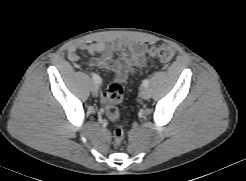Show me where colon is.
<instances>
[{
  "mask_svg": "<svg viewBox=\"0 0 246 181\" xmlns=\"http://www.w3.org/2000/svg\"><path fill=\"white\" fill-rule=\"evenodd\" d=\"M149 54L159 62L168 63L173 59L175 52L170 45L160 44L152 46L149 49ZM123 95V89L118 83L111 84L102 92L105 114L112 121L119 118L118 106L123 100ZM113 138L114 145L116 147L120 146L124 138V130L121 127L115 128Z\"/></svg>",
  "mask_w": 246,
  "mask_h": 181,
  "instance_id": "colon-1",
  "label": "colon"
}]
</instances>
